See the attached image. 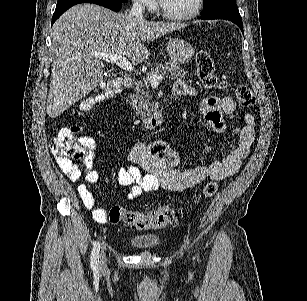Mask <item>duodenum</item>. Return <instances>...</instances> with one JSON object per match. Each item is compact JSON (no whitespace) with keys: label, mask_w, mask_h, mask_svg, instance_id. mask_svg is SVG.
<instances>
[{"label":"duodenum","mask_w":307,"mask_h":301,"mask_svg":"<svg viewBox=\"0 0 307 301\" xmlns=\"http://www.w3.org/2000/svg\"><path fill=\"white\" fill-rule=\"evenodd\" d=\"M123 83H124V86L129 89L134 86L135 81L131 77H126L123 80ZM160 118H161L160 116L153 117L147 121L146 125L149 127L155 126L159 122Z\"/></svg>","instance_id":"410a0bca"}]
</instances>
